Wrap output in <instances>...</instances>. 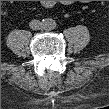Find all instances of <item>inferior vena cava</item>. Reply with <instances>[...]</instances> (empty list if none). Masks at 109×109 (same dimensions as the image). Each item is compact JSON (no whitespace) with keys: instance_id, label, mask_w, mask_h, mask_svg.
I'll list each match as a JSON object with an SVG mask.
<instances>
[{"instance_id":"inferior-vena-cava-1","label":"inferior vena cava","mask_w":109,"mask_h":109,"mask_svg":"<svg viewBox=\"0 0 109 109\" xmlns=\"http://www.w3.org/2000/svg\"><path fill=\"white\" fill-rule=\"evenodd\" d=\"M29 26L32 30H40L43 24L39 20L34 19L29 23Z\"/></svg>"}]
</instances>
